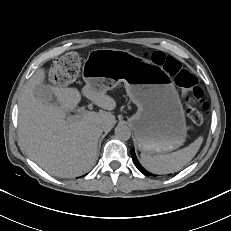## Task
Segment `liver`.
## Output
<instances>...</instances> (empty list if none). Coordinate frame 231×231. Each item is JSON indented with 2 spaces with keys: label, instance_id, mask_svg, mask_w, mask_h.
I'll list each match as a JSON object with an SVG mask.
<instances>
[{
  "label": "liver",
  "instance_id": "6515ba94",
  "mask_svg": "<svg viewBox=\"0 0 231 231\" xmlns=\"http://www.w3.org/2000/svg\"><path fill=\"white\" fill-rule=\"evenodd\" d=\"M45 70H38L25 86L19 99V134L29 157L46 172L72 178L88 172L98 158V140L102 131H109L115 116L109 111L116 107L115 100L98 92L83 88V95L104 109L84 111L77 118L66 116L76 110L81 101L77 88L44 84ZM37 86H46L56 102L45 103L35 96ZM107 110V111H105Z\"/></svg>",
  "mask_w": 231,
  "mask_h": 231
}]
</instances>
